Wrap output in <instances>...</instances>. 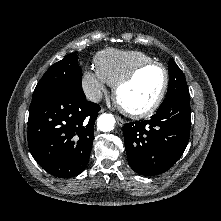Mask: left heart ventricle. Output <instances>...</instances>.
I'll return each instance as SVG.
<instances>
[{"mask_svg": "<svg viewBox=\"0 0 221 221\" xmlns=\"http://www.w3.org/2000/svg\"><path fill=\"white\" fill-rule=\"evenodd\" d=\"M163 81L164 74L161 68H146L120 90L119 101L126 108L132 110L144 109L156 99Z\"/></svg>", "mask_w": 221, "mask_h": 221, "instance_id": "obj_1", "label": "left heart ventricle"}]
</instances>
